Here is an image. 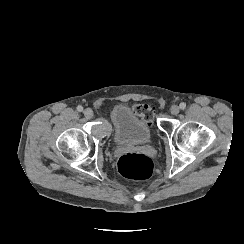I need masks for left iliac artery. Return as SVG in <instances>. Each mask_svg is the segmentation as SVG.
I'll list each match as a JSON object with an SVG mask.
<instances>
[{
	"instance_id": "obj_1",
	"label": "left iliac artery",
	"mask_w": 244,
	"mask_h": 244,
	"mask_svg": "<svg viewBox=\"0 0 244 244\" xmlns=\"http://www.w3.org/2000/svg\"><path fill=\"white\" fill-rule=\"evenodd\" d=\"M180 108L182 109V110H184L185 108H186V103H184V102H182V103H180Z\"/></svg>"
}]
</instances>
